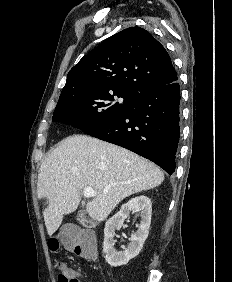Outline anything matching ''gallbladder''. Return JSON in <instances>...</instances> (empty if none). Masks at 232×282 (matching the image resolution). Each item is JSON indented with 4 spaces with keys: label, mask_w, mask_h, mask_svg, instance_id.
Returning a JSON list of instances; mask_svg holds the SVG:
<instances>
[{
    "label": "gallbladder",
    "mask_w": 232,
    "mask_h": 282,
    "mask_svg": "<svg viewBox=\"0 0 232 282\" xmlns=\"http://www.w3.org/2000/svg\"><path fill=\"white\" fill-rule=\"evenodd\" d=\"M77 220L82 224H85L87 222L86 219L84 218L82 212L78 215Z\"/></svg>",
    "instance_id": "bac80fb5"
}]
</instances>
